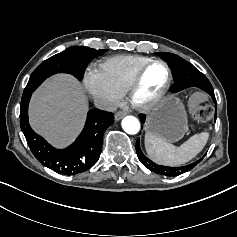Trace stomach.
Masks as SVG:
<instances>
[{"label":"stomach","instance_id":"obj_1","mask_svg":"<svg viewBox=\"0 0 237 237\" xmlns=\"http://www.w3.org/2000/svg\"><path fill=\"white\" fill-rule=\"evenodd\" d=\"M187 123L183 103L174 95H168L151 106L145 130L173 143L184 137L188 130Z\"/></svg>","mask_w":237,"mask_h":237}]
</instances>
